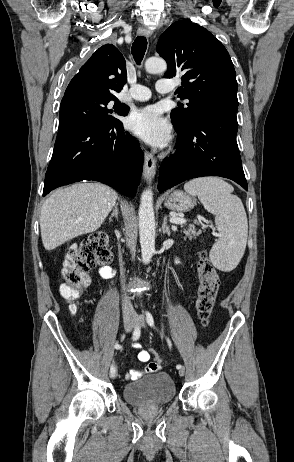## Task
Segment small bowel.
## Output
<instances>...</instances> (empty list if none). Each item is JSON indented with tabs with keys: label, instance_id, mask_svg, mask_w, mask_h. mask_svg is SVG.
I'll return each mask as SVG.
<instances>
[{
	"label": "small bowel",
	"instance_id": "small-bowel-1",
	"mask_svg": "<svg viewBox=\"0 0 294 462\" xmlns=\"http://www.w3.org/2000/svg\"><path fill=\"white\" fill-rule=\"evenodd\" d=\"M115 272L110 266H103L99 269V275L104 279H110L114 276ZM134 348L137 349L138 352V359L143 363H147L145 368L141 371L138 370H130L126 374V378L130 380H135L140 376L147 374V373H154L161 369L160 361H151L150 362V352L144 349L139 343L135 342L133 344Z\"/></svg>",
	"mask_w": 294,
	"mask_h": 462
}]
</instances>
